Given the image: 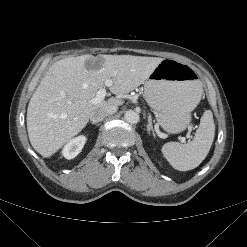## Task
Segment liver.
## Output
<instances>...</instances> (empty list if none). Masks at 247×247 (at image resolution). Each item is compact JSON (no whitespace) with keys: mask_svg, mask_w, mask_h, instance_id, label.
Returning a JSON list of instances; mask_svg holds the SVG:
<instances>
[{"mask_svg":"<svg viewBox=\"0 0 247 247\" xmlns=\"http://www.w3.org/2000/svg\"><path fill=\"white\" fill-rule=\"evenodd\" d=\"M159 57L82 55L55 62L42 78L27 108V131L32 147L50 157L81 132L95 110L120 106L114 97L93 103L97 91L110 80V91L129 93L143 84ZM94 61H98L94 65Z\"/></svg>","mask_w":247,"mask_h":247,"instance_id":"1","label":"liver"}]
</instances>
